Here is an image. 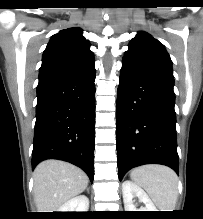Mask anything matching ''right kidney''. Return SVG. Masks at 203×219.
Instances as JSON below:
<instances>
[{
	"label": "right kidney",
	"instance_id": "obj_1",
	"mask_svg": "<svg viewBox=\"0 0 203 219\" xmlns=\"http://www.w3.org/2000/svg\"><path fill=\"white\" fill-rule=\"evenodd\" d=\"M89 199L85 195L76 196L63 204L58 212H88Z\"/></svg>",
	"mask_w": 203,
	"mask_h": 219
}]
</instances>
